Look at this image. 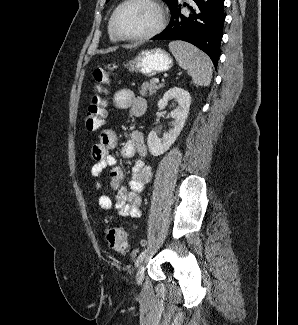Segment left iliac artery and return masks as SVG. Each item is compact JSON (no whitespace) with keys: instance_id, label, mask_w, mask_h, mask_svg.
I'll use <instances>...</instances> for the list:
<instances>
[{"instance_id":"left-iliac-artery-1","label":"left iliac artery","mask_w":298,"mask_h":325,"mask_svg":"<svg viewBox=\"0 0 298 325\" xmlns=\"http://www.w3.org/2000/svg\"><path fill=\"white\" fill-rule=\"evenodd\" d=\"M146 249L144 251H142L140 253V255L138 256V258L136 259V262H135V266L138 267L139 264L143 261L144 257H145V254H146Z\"/></svg>"}]
</instances>
